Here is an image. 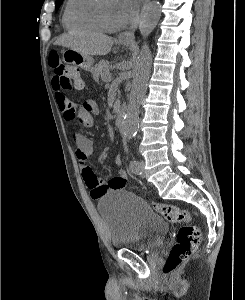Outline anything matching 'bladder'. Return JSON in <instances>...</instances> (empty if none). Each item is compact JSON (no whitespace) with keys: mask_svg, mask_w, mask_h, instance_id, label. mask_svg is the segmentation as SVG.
I'll return each mask as SVG.
<instances>
[{"mask_svg":"<svg viewBox=\"0 0 245 300\" xmlns=\"http://www.w3.org/2000/svg\"><path fill=\"white\" fill-rule=\"evenodd\" d=\"M98 211L115 249L151 252L168 233L167 223L140 197L124 190L110 191L99 198Z\"/></svg>","mask_w":245,"mask_h":300,"instance_id":"31cf9c89","label":"bladder"}]
</instances>
